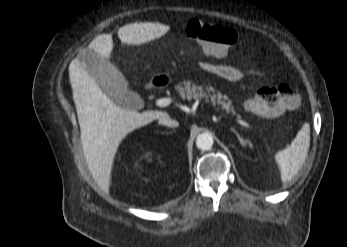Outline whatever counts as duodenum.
I'll use <instances>...</instances> for the list:
<instances>
[{
  "label": "duodenum",
  "mask_w": 347,
  "mask_h": 247,
  "mask_svg": "<svg viewBox=\"0 0 347 247\" xmlns=\"http://www.w3.org/2000/svg\"><path fill=\"white\" fill-rule=\"evenodd\" d=\"M165 84L166 82L163 80L162 77H156L146 84V89L152 90L156 88H161L164 87Z\"/></svg>",
  "instance_id": "1"
}]
</instances>
